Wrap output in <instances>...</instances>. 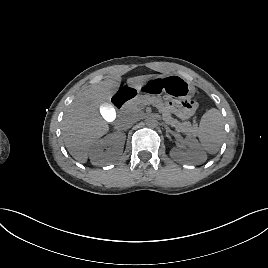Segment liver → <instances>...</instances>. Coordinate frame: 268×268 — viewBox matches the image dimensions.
Masks as SVG:
<instances>
[{
    "label": "liver",
    "instance_id": "1",
    "mask_svg": "<svg viewBox=\"0 0 268 268\" xmlns=\"http://www.w3.org/2000/svg\"><path fill=\"white\" fill-rule=\"evenodd\" d=\"M151 76L128 78L127 83L135 86ZM120 84V75L112 76L80 91L70 104L62 122L63 140L67 150L77 161L85 163L91 145L109 131L106 122L108 117L105 113V116H101L99 107L107 110V102Z\"/></svg>",
    "mask_w": 268,
    "mask_h": 268
}]
</instances>
